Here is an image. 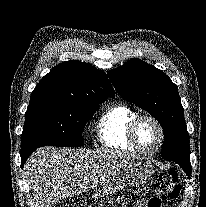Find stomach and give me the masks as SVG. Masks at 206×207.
<instances>
[{
    "label": "stomach",
    "instance_id": "1",
    "mask_svg": "<svg viewBox=\"0 0 206 207\" xmlns=\"http://www.w3.org/2000/svg\"><path fill=\"white\" fill-rule=\"evenodd\" d=\"M155 172L154 166L146 158L136 159L126 168L117 172L99 187L100 197L114 194L127 186L146 184Z\"/></svg>",
    "mask_w": 206,
    "mask_h": 207
}]
</instances>
